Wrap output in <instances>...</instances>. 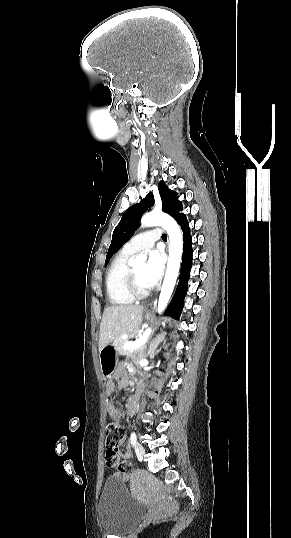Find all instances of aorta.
I'll list each match as a JSON object with an SVG mask.
<instances>
[{"mask_svg": "<svg viewBox=\"0 0 291 538\" xmlns=\"http://www.w3.org/2000/svg\"><path fill=\"white\" fill-rule=\"evenodd\" d=\"M141 224L145 227L160 225L169 235L170 248L167 270L157 305L158 312L161 313L165 310L170 300L177 280L182 256V232L177 222L171 216L163 212H150L144 214L141 218ZM145 262L146 256L144 254H139L133 259L132 264L134 267H142Z\"/></svg>", "mask_w": 291, "mask_h": 538, "instance_id": "aorta-1", "label": "aorta"}]
</instances>
